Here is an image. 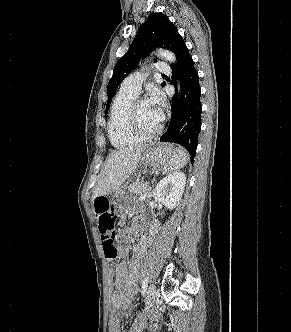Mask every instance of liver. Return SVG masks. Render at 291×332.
<instances>
[{"label":"liver","mask_w":291,"mask_h":332,"mask_svg":"<svg viewBox=\"0 0 291 332\" xmlns=\"http://www.w3.org/2000/svg\"><path fill=\"white\" fill-rule=\"evenodd\" d=\"M144 145L122 148L111 153L101 171L93 199L106 196L118 190L122 184L136 171L141 159Z\"/></svg>","instance_id":"1"}]
</instances>
